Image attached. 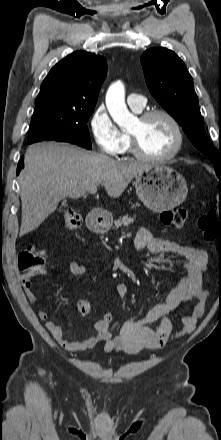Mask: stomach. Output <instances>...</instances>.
<instances>
[{"instance_id": "1", "label": "stomach", "mask_w": 221, "mask_h": 440, "mask_svg": "<svg viewBox=\"0 0 221 440\" xmlns=\"http://www.w3.org/2000/svg\"><path fill=\"white\" fill-rule=\"evenodd\" d=\"M134 184L139 199L154 212L180 205L188 193L185 178L167 165H150L135 176Z\"/></svg>"}]
</instances>
